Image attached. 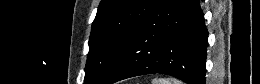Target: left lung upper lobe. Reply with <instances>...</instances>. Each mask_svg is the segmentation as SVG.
<instances>
[{
	"label": "left lung upper lobe",
	"mask_w": 260,
	"mask_h": 84,
	"mask_svg": "<svg viewBox=\"0 0 260 84\" xmlns=\"http://www.w3.org/2000/svg\"><path fill=\"white\" fill-rule=\"evenodd\" d=\"M158 0H102L92 24L84 84H102Z\"/></svg>",
	"instance_id": "left-lung-upper-lobe-1"
}]
</instances>
